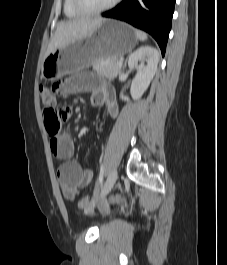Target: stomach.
<instances>
[{"mask_svg":"<svg viewBox=\"0 0 227 265\" xmlns=\"http://www.w3.org/2000/svg\"><path fill=\"white\" fill-rule=\"evenodd\" d=\"M137 43L134 29L107 19L91 35L54 49L44 58L41 74L50 81L84 70L102 59H118Z\"/></svg>","mask_w":227,"mask_h":265,"instance_id":"0dacf381","label":"stomach"}]
</instances>
